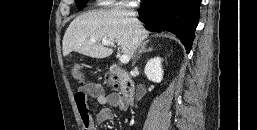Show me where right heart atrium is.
Segmentation results:
<instances>
[{"label":"right heart atrium","instance_id":"d8ad5b80","mask_svg":"<svg viewBox=\"0 0 257 130\" xmlns=\"http://www.w3.org/2000/svg\"><path fill=\"white\" fill-rule=\"evenodd\" d=\"M104 4H113L115 0H101Z\"/></svg>","mask_w":257,"mask_h":130}]
</instances>
